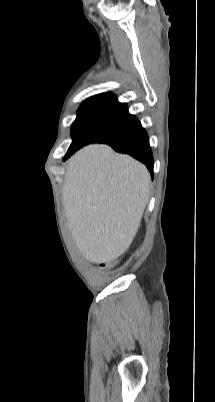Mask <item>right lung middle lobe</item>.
<instances>
[{"label": "right lung middle lobe", "mask_w": 215, "mask_h": 402, "mask_svg": "<svg viewBox=\"0 0 215 402\" xmlns=\"http://www.w3.org/2000/svg\"><path fill=\"white\" fill-rule=\"evenodd\" d=\"M138 120L128 113L125 104L109 96H93L85 100L72 124V144L68 152L90 143L111 142ZM67 152V153H68Z\"/></svg>", "instance_id": "1"}]
</instances>
